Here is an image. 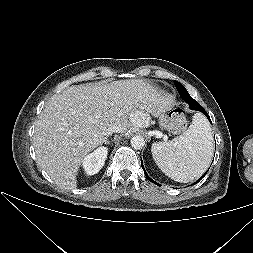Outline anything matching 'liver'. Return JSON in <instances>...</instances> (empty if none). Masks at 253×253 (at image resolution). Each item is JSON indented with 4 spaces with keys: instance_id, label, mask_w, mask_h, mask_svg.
<instances>
[{
    "instance_id": "6515ba94",
    "label": "liver",
    "mask_w": 253,
    "mask_h": 253,
    "mask_svg": "<svg viewBox=\"0 0 253 253\" xmlns=\"http://www.w3.org/2000/svg\"><path fill=\"white\" fill-rule=\"evenodd\" d=\"M172 106L171 96L139 79L68 87L46 102L36 123L37 162L58 186L76 189L81 163L108 129L147 127L149 114L157 117Z\"/></svg>"
}]
</instances>
